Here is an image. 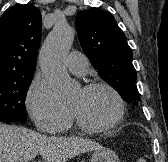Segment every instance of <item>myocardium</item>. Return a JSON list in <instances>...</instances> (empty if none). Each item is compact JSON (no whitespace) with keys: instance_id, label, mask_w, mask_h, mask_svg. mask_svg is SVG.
Listing matches in <instances>:
<instances>
[{"instance_id":"myocardium-1","label":"myocardium","mask_w":168,"mask_h":162,"mask_svg":"<svg viewBox=\"0 0 168 162\" xmlns=\"http://www.w3.org/2000/svg\"><path fill=\"white\" fill-rule=\"evenodd\" d=\"M97 89H103V90L108 91L113 96V98L116 102L117 113H116L115 117L110 122H108L104 125L88 124L84 120H82L78 116V114L70 107V113H71L74 121L76 122L77 126L84 131L92 132V133L105 132V131H109V130L114 129L123 120L124 114H125L124 101H123L121 95L118 93V91L114 87H112L111 85H109L107 83H103V82H94V83H90V84H87L82 87V90L84 92H90V91H94Z\"/></svg>"}]
</instances>
